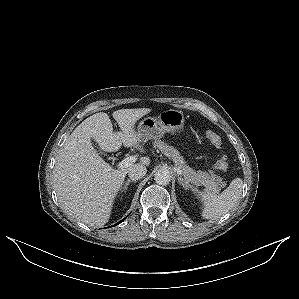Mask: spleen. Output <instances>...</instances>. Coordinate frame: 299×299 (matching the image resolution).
Returning <instances> with one entry per match:
<instances>
[{
  "label": "spleen",
  "mask_w": 299,
  "mask_h": 299,
  "mask_svg": "<svg viewBox=\"0 0 299 299\" xmlns=\"http://www.w3.org/2000/svg\"><path fill=\"white\" fill-rule=\"evenodd\" d=\"M243 181L235 178L221 194L195 189L197 198L203 203L202 217L205 219H217L231 210L240 200Z\"/></svg>",
  "instance_id": "obj_1"
}]
</instances>
